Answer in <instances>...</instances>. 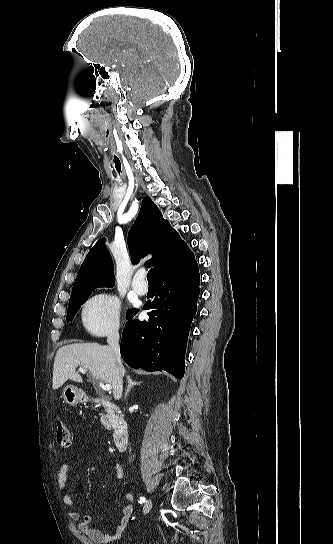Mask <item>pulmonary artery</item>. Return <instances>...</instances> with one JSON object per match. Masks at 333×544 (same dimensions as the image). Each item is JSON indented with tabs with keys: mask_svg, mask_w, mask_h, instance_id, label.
<instances>
[{
	"mask_svg": "<svg viewBox=\"0 0 333 544\" xmlns=\"http://www.w3.org/2000/svg\"><path fill=\"white\" fill-rule=\"evenodd\" d=\"M144 272H138L132 281V287L139 295H145L148 292V284L144 280Z\"/></svg>",
	"mask_w": 333,
	"mask_h": 544,
	"instance_id": "obj_1",
	"label": "pulmonary artery"
}]
</instances>
